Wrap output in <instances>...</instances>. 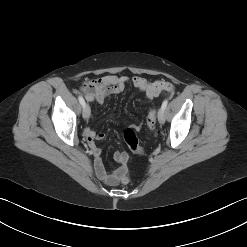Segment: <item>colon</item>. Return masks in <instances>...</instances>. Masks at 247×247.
<instances>
[{
	"instance_id": "1",
	"label": "colon",
	"mask_w": 247,
	"mask_h": 247,
	"mask_svg": "<svg viewBox=\"0 0 247 247\" xmlns=\"http://www.w3.org/2000/svg\"><path fill=\"white\" fill-rule=\"evenodd\" d=\"M146 123L147 126L151 129L154 130L156 127V110L152 109L149 111L147 117H146ZM124 140L127 143L128 147L136 154H142L144 152L143 148L139 145V140L136 136L135 129L130 127L127 128L124 131ZM130 178L129 176L124 173L121 175V182L123 184L129 183Z\"/></svg>"
}]
</instances>
